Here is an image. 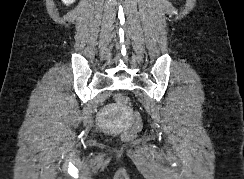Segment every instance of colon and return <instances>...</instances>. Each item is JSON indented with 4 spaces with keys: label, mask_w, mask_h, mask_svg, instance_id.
Returning <instances> with one entry per match:
<instances>
[{
    "label": "colon",
    "mask_w": 244,
    "mask_h": 179,
    "mask_svg": "<svg viewBox=\"0 0 244 179\" xmlns=\"http://www.w3.org/2000/svg\"><path fill=\"white\" fill-rule=\"evenodd\" d=\"M113 101H117L125 107H132V102L129 96H122L121 93H114ZM133 125L128 128V133L122 134V142H133V138H138V131L141 129L140 125H144V120H142L141 112L131 111Z\"/></svg>",
    "instance_id": "5ec220e1"
}]
</instances>
